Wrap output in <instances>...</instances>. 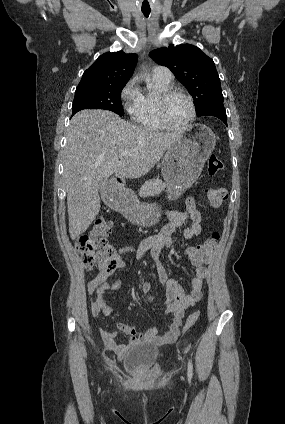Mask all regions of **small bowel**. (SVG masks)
Wrapping results in <instances>:
<instances>
[{
    "label": "small bowel",
    "mask_w": 285,
    "mask_h": 424,
    "mask_svg": "<svg viewBox=\"0 0 285 424\" xmlns=\"http://www.w3.org/2000/svg\"><path fill=\"white\" fill-rule=\"evenodd\" d=\"M165 215L168 223L162 230L154 236L143 240L137 248L124 246L119 248L116 260L120 268L125 266L123 255L127 253H135L138 260L144 258L149 251L151 258L156 266L158 279L166 290V301L160 302L154 298L151 286L148 283L142 285V293L149 304L154 307L164 306V319L175 317L170 329L164 334H159L156 327H149L144 332L138 333L135 328L124 323L117 322L116 326L119 332L128 335L127 344H118L115 341L117 332H110L104 326L99 325L98 329L105 347L122 360L126 352L140 344L167 345L177 340L182 333V318L185 309L194 306L202 297V288L207 275L208 259L200 264H194L195 270L191 277V289L186 293L181 284L170 279L164 265L161 263L159 256L164 248L172 247L177 243V239L173 236L176 230H180L181 237L184 239H192L202 232V215L197 208L196 201L193 197H189L186 201L185 211H175L166 209ZM189 248L185 251L187 252ZM121 279L116 277L113 282H107V276L101 272L92 279L88 285V294L94 295V299L90 301V309L93 317L101 314L111 316L113 308L106 298V293L116 291L120 288Z\"/></svg>",
    "instance_id": "obj_1"
}]
</instances>
